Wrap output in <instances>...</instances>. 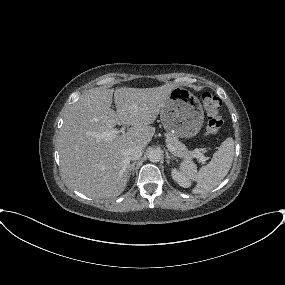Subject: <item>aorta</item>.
<instances>
[{
  "instance_id": "762f6f07",
  "label": "aorta",
  "mask_w": 285,
  "mask_h": 285,
  "mask_svg": "<svg viewBox=\"0 0 285 285\" xmlns=\"http://www.w3.org/2000/svg\"><path fill=\"white\" fill-rule=\"evenodd\" d=\"M161 157L162 154L158 149H151L148 153V159L153 163L159 162L161 160Z\"/></svg>"
}]
</instances>
